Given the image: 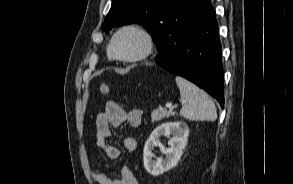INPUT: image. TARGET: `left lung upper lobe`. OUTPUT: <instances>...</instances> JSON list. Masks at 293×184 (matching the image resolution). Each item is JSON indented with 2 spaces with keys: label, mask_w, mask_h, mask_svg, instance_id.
I'll return each instance as SVG.
<instances>
[{
  "label": "left lung upper lobe",
  "mask_w": 293,
  "mask_h": 184,
  "mask_svg": "<svg viewBox=\"0 0 293 184\" xmlns=\"http://www.w3.org/2000/svg\"><path fill=\"white\" fill-rule=\"evenodd\" d=\"M180 1L182 0H112L102 29L108 33L113 27L140 22L151 34L158 52H161L172 10Z\"/></svg>",
  "instance_id": "obj_1"
}]
</instances>
